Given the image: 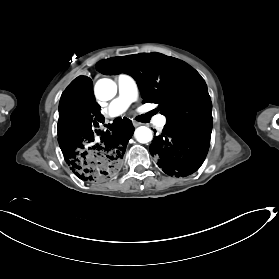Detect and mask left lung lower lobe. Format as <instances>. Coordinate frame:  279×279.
<instances>
[{
	"mask_svg": "<svg viewBox=\"0 0 279 279\" xmlns=\"http://www.w3.org/2000/svg\"><path fill=\"white\" fill-rule=\"evenodd\" d=\"M212 125L180 126L166 124L149 147L162 170L175 177L195 172L207 155Z\"/></svg>",
	"mask_w": 279,
	"mask_h": 279,
	"instance_id": "1",
	"label": "left lung lower lobe"
}]
</instances>
